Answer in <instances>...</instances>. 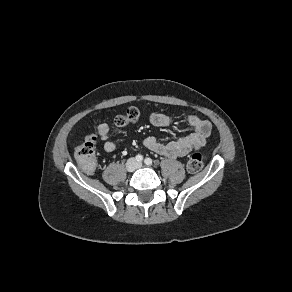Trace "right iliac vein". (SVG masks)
I'll list each match as a JSON object with an SVG mask.
<instances>
[{
	"label": "right iliac vein",
	"instance_id": "63e3f726",
	"mask_svg": "<svg viewBox=\"0 0 292 292\" xmlns=\"http://www.w3.org/2000/svg\"><path fill=\"white\" fill-rule=\"evenodd\" d=\"M135 168V162L134 160H130L128 163H127V170L128 171H133Z\"/></svg>",
	"mask_w": 292,
	"mask_h": 292
}]
</instances>
